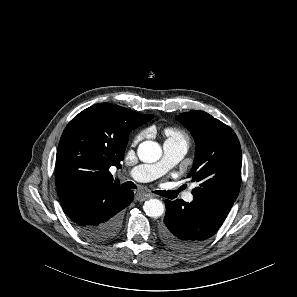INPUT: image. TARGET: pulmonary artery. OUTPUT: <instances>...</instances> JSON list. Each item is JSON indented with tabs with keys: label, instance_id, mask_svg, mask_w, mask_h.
Returning a JSON list of instances; mask_svg holds the SVG:
<instances>
[{
	"label": "pulmonary artery",
	"instance_id": "e3ab8cb5",
	"mask_svg": "<svg viewBox=\"0 0 297 297\" xmlns=\"http://www.w3.org/2000/svg\"><path fill=\"white\" fill-rule=\"evenodd\" d=\"M189 148L187 141H165L163 144L162 158L152 164H141L132 168L128 175L135 181L148 182L157 179L174 167L186 155ZM184 200L191 202L193 195L187 192Z\"/></svg>",
	"mask_w": 297,
	"mask_h": 297
}]
</instances>
